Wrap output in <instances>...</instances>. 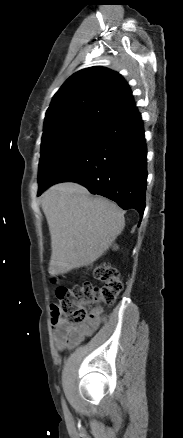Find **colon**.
Segmentation results:
<instances>
[{"mask_svg":"<svg viewBox=\"0 0 183 438\" xmlns=\"http://www.w3.org/2000/svg\"><path fill=\"white\" fill-rule=\"evenodd\" d=\"M92 272L102 283L101 286L84 283L72 288H57L59 304L52 306L53 324L61 320L72 328H79L88 318L86 306L98 303L109 305L116 300L123 288L118 272L106 264L94 266Z\"/></svg>","mask_w":183,"mask_h":438,"instance_id":"1","label":"colon"}]
</instances>
